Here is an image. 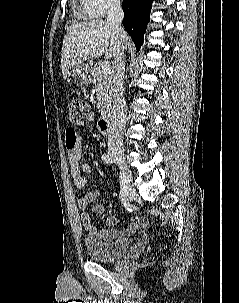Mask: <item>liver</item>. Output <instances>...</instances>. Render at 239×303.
Returning <instances> with one entry per match:
<instances>
[{
  "label": "liver",
  "instance_id": "6515ba94",
  "mask_svg": "<svg viewBox=\"0 0 239 303\" xmlns=\"http://www.w3.org/2000/svg\"><path fill=\"white\" fill-rule=\"evenodd\" d=\"M123 49L130 45V39L125 34ZM108 46H110L108 48ZM118 47L117 33L114 26L107 21L94 19L71 25L63 39L61 68L66 78L69 69L90 59L114 57Z\"/></svg>",
  "mask_w": 239,
  "mask_h": 303
}]
</instances>
